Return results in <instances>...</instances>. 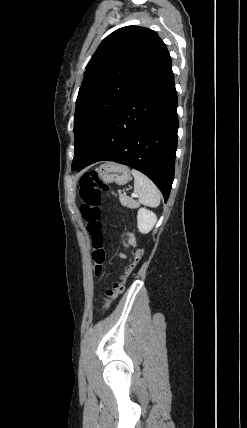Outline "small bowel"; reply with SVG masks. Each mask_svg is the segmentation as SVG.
Returning a JSON list of instances; mask_svg holds the SVG:
<instances>
[{
  "label": "small bowel",
  "mask_w": 247,
  "mask_h": 428,
  "mask_svg": "<svg viewBox=\"0 0 247 428\" xmlns=\"http://www.w3.org/2000/svg\"><path fill=\"white\" fill-rule=\"evenodd\" d=\"M125 246L126 247H129V246H134L135 245V239H134V237L131 235V234H128L127 236H126V239H125ZM121 257H124L125 255L124 254H121L120 255Z\"/></svg>",
  "instance_id": "c3829d8e"
}]
</instances>
